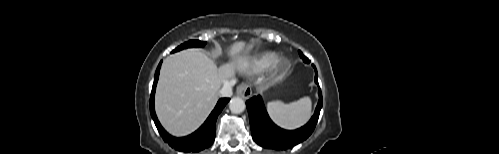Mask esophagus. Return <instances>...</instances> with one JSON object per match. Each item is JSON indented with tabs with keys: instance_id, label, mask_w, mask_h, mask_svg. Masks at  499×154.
I'll return each instance as SVG.
<instances>
[{
	"instance_id": "34e87169",
	"label": "esophagus",
	"mask_w": 499,
	"mask_h": 154,
	"mask_svg": "<svg viewBox=\"0 0 499 154\" xmlns=\"http://www.w3.org/2000/svg\"><path fill=\"white\" fill-rule=\"evenodd\" d=\"M236 94L244 99H248L252 94V90L249 85L242 83L237 87Z\"/></svg>"
}]
</instances>
